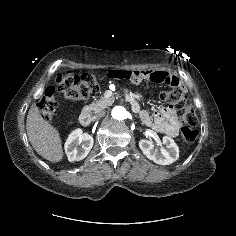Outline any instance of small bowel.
<instances>
[{"mask_svg": "<svg viewBox=\"0 0 236 236\" xmlns=\"http://www.w3.org/2000/svg\"><path fill=\"white\" fill-rule=\"evenodd\" d=\"M108 77L111 81L118 80L125 82L148 81L156 84H167L171 86H180L181 81L174 75L161 70L138 71L132 66H126L120 71L113 69L109 72ZM142 121L158 132L176 137L180 131V123L174 116L173 109L166 107L161 110L150 113L146 110L140 113Z\"/></svg>", "mask_w": 236, "mask_h": 236, "instance_id": "obj_1", "label": "small bowel"}]
</instances>
